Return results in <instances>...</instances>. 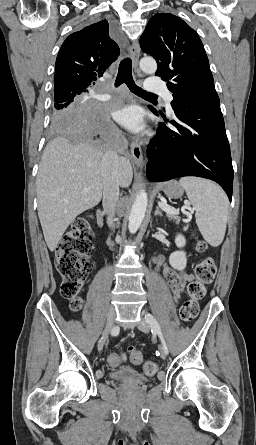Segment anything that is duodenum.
I'll return each mask as SVG.
<instances>
[{"instance_id":"duodenum-1","label":"duodenum","mask_w":256,"mask_h":445,"mask_svg":"<svg viewBox=\"0 0 256 445\" xmlns=\"http://www.w3.org/2000/svg\"><path fill=\"white\" fill-rule=\"evenodd\" d=\"M98 226H99V227H102V226H103V220H102V217H101L100 212H98Z\"/></svg>"}]
</instances>
